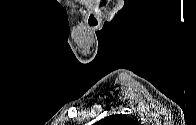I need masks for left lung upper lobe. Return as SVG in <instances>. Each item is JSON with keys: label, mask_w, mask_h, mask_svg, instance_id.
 Segmentation results:
<instances>
[{"label": "left lung upper lobe", "mask_w": 196, "mask_h": 125, "mask_svg": "<svg viewBox=\"0 0 196 125\" xmlns=\"http://www.w3.org/2000/svg\"><path fill=\"white\" fill-rule=\"evenodd\" d=\"M101 125H132L134 120L124 115H111L99 121Z\"/></svg>", "instance_id": "left-lung-upper-lobe-1"}]
</instances>
